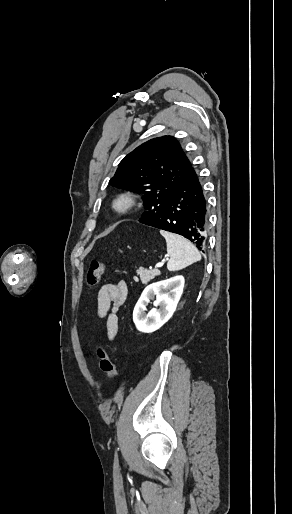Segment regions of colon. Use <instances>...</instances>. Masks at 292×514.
<instances>
[{"mask_svg":"<svg viewBox=\"0 0 292 514\" xmlns=\"http://www.w3.org/2000/svg\"><path fill=\"white\" fill-rule=\"evenodd\" d=\"M107 269V263L101 259H94L90 267L86 271L87 283L91 288L98 285L101 277ZM97 357L100 363V369L106 374L110 380H116L118 377V370L115 362L108 351L106 344H102L97 348Z\"/></svg>","mask_w":292,"mask_h":514,"instance_id":"5ec220e1","label":"colon"}]
</instances>
